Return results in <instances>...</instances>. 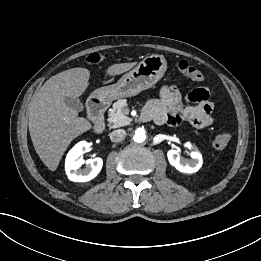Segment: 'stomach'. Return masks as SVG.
<instances>
[{"label":"stomach","mask_w":261,"mask_h":261,"mask_svg":"<svg viewBox=\"0 0 261 261\" xmlns=\"http://www.w3.org/2000/svg\"><path fill=\"white\" fill-rule=\"evenodd\" d=\"M166 69L167 62L164 56L152 54L125 73L117 83L98 88L91 96L100 101L135 96L153 87L163 77Z\"/></svg>","instance_id":"0dacf381"}]
</instances>
